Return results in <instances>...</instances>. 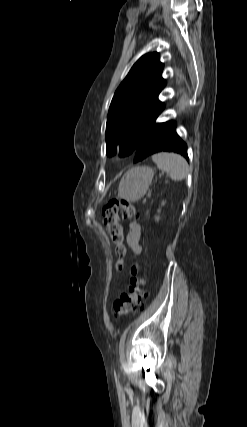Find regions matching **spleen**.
Here are the masks:
<instances>
[{
  "mask_svg": "<svg viewBox=\"0 0 247 427\" xmlns=\"http://www.w3.org/2000/svg\"><path fill=\"white\" fill-rule=\"evenodd\" d=\"M152 160L158 169L165 171L174 181L183 180L188 174V164L186 160L175 153L161 152L155 154Z\"/></svg>",
  "mask_w": 247,
  "mask_h": 427,
  "instance_id": "1",
  "label": "spleen"
}]
</instances>
